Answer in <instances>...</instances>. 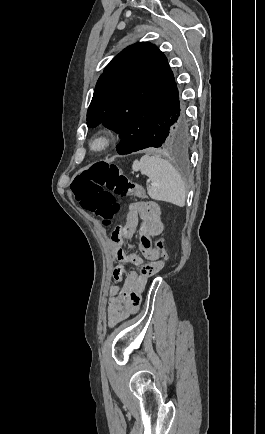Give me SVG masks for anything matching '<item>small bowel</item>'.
<instances>
[{"instance_id":"1","label":"small bowel","mask_w":265,"mask_h":434,"mask_svg":"<svg viewBox=\"0 0 265 434\" xmlns=\"http://www.w3.org/2000/svg\"><path fill=\"white\" fill-rule=\"evenodd\" d=\"M161 208L155 201H140L131 204L126 212L123 228L128 231L126 236L112 241L115 246V257L118 266L113 271L115 284L108 288L107 322L110 327L117 325L138 311L144 280L158 273L157 267L142 266L137 272L129 265H140L142 261L135 255L127 253L124 244L139 226V247L142 256L149 262L158 260V251L152 238L159 236L164 229L161 220ZM164 262H162L163 266ZM146 274V275H145ZM142 275V278L139 276Z\"/></svg>"}]
</instances>
